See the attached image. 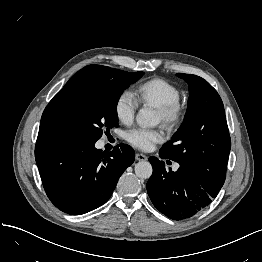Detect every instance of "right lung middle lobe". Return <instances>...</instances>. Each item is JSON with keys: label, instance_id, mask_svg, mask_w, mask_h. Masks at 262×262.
<instances>
[{"label": "right lung middle lobe", "instance_id": "obj_1", "mask_svg": "<svg viewBox=\"0 0 262 262\" xmlns=\"http://www.w3.org/2000/svg\"><path fill=\"white\" fill-rule=\"evenodd\" d=\"M143 74L100 65L84 67L49 102L40 129L96 142L103 130L118 127L116 106L120 95Z\"/></svg>", "mask_w": 262, "mask_h": 262}]
</instances>
